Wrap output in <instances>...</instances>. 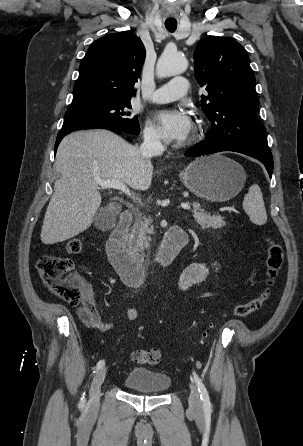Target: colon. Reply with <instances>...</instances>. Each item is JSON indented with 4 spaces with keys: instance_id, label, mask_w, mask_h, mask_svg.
I'll list each match as a JSON object with an SVG mask.
<instances>
[{
    "instance_id": "5ec220e1",
    "label": "colon",
    "mask_w": 303,
    "mask_h": 446,
    "mask_svg": "<svg viewBox=\"0 0 303 446\" xmlns=\"http://www.w3.org/2000/svg\"><path fill=\"white\" fill-rule=\"evenodd\" d=\"M83 249L79 238H71L65 245V251L69 255L79 254ZM284 258L281 245L276 241H270L266 255V278L264 288L260 294L249 302L236 306L231 315L245 317L260 310L269 298ZM38 273L45 285L61 300L78 305L83 301V292L79 276L75 270L73 261L68 257L46 255L38 259L36 263ZM208 328L202 335L201 341L205 342L211 332ZM132 358L136 363L155 365L161 359L158 349H139L133 352Z\"/></svg>"
}]
</instances>
